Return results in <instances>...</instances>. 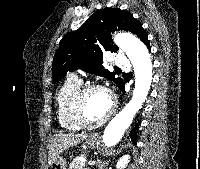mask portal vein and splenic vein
I'll return each instance as SVG.
<instances>
[{
    "label": "portal vein and splenic vein",
    "mask_w": 200,
    "mask_h": 169,
    "mask_svg": "<svg viewBox=\"0 0 200 169\" xmlns=\"http://www.w3.org/2000/svg\"><path fill=\"white\" fill-rule=\"evenodd\" d=\"M88 164H89V165H94V164H95V161H89Z\"/></svg>",
    "instance_id": "portal-vein-and-splenic-vein-1"
}]
</instances>
